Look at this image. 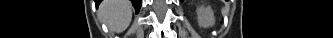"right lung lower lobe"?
<instances>
[{
  "mask_svg": "<svg viewBox=\"0 0 333 38\" xmlns=\"http://www.w3.org/2000/svg\"><path fill=\"white\" fill-rule=\"evenodd\" d=\"M131 1L136 9V12H138L141 7V0H131ZM100 2H101L100 0L96 1V5L98 6Z\"/></svg>",
  "mask_w": 333,
  "mask_h": 38,
  "instance_id": "1",
  "label": "right lung lower lobe"
}]
</instances>
